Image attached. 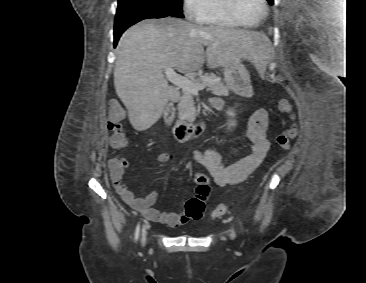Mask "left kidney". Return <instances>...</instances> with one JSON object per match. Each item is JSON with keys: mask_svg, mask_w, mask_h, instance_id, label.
Returning <instances> with one entry per match:
<instances>
[{"mask_svg": "<svg viewBox=\"0 0 366 283\" xmlns=\"http://www.w3.org/2000/svg\"><path fill=\"white\" fill-rule=\"evenodd\" d=\"M227 115L228 116H235V113H234V111L232 110V109H229L228 111H227ZM236 124H235V122H230V124H229V127H231V126H235Z\"/></svg>", "mask_w": 366, "mask_h": 283, "instance_id": "5707ae66", "label": "left kidney"}]
</instances>
